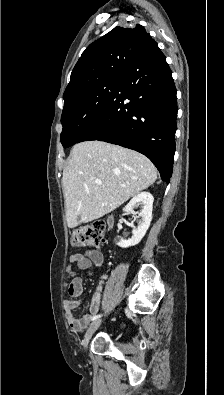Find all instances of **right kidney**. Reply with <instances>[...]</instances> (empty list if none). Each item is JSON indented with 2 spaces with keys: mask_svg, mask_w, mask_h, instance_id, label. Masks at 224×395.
Masks as SVG:
<instances>
[{
  "mask_svg": "<svg viewBox=\"0 0 224 395\" xmlns=\"http://www.w3.org/2000/svg\"><path fill=\"white\" fill-rule=\"evenodd\" d=\"M153 201L154 198L152 194L149 192H141L138 195L134 196L129 203L125 206V212H134V207L141 204L142 210L139 213L138 217H141V220L137 226L132 231V237L128 240H124L121 236H117L114 241L121 248H128L130 246L137 245L142 238L145 236L146 231L150 226V222L152 220V210H153Z\"/></svg>",
  "mask_w": 224,
  "mask_h": 395,
  "instance_id": "1",
  "label": "right kidney"
}]
</instances>
